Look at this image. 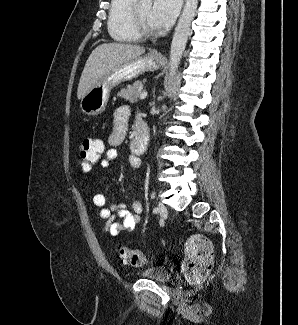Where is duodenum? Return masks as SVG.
I'll use <instances>...</instances> for the list:
<instances>
[{
    "mask_svg": "<svg viewBox=\"0 0 298 325\" xmlns=\"http://www.w3.org/2000/svg\"><path fill=\"white\" fill-rule=\"evenodd\" d=\"M150 138L149 128L146 122L138 117L135 122L131 150L134 154L140 155L145 152Z\"/></svg>",
    "mask_w": 298,
    "mask_h": 325,
    "instance_id": "duodenum-1",
    "label": "duodenum"
}]
</instances>
